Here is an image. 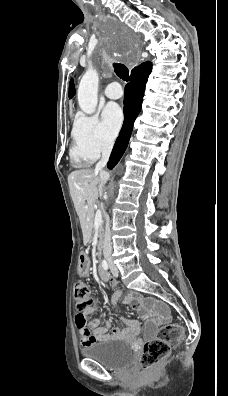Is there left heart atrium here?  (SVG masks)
I'll use <instances>...</instances> for the list:
<instances>
[{
  "mask_svg": "<svg viewBox=\"0 0 228 396\" xmlns=\"http://www.w3.org/2000/svg\"><path fill=\"white\" fill-rule=\"evenodd\" d=\"M102 121L106 133L111 138L116 137L123 122L121 108L116 104H108L103 110Z\"/></svg>",
  "mask_w": 228,
  "mask_h": 396,
  "instance_id": "1",
  "label": "left heart atrium"
}]
</instances>
